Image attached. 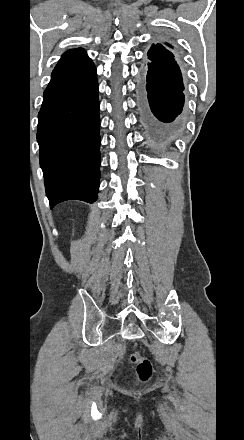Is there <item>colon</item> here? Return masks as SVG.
Wrapping results in <instances>:
<instances>
[{
	"instance_id": "obj_1",
	"label": "colon",
	"mask_w": 244,
	"mask_h": 440,
	"mask_svg": "<svg viewBox=\"0 0 244 440\" xmlns=\"http://www.w3.org/2000/svg\"><path fill=\"white\" fill-rule=\"evenodd\" d=\"M129 361L139 364L137 371L142 381H147L153 374L151 365L138 352L132 351L129 355Z\"/></svg>"
}]
</instances>
